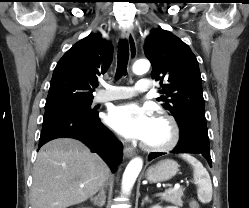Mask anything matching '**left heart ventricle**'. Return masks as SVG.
<instances>
[{"mask_svg":"<svg viewBox=\"0 0 249 208\" xmlns=\"http://www.w3.org/2000/svg\"><path fill=\"white\" fill-rule=\"evenodd\" d=\"M169 136L170 131L168 126L164 122L155 119L150 137L146 142L151 144H162L168 140Z\"/></svg>","mask_w":249,"mask_h":208,"instance_id":"b2bd125f","label":"left heart ventricle"}]
</instances>
